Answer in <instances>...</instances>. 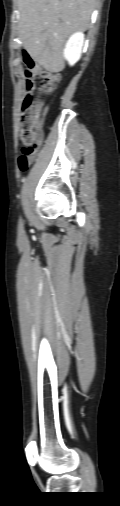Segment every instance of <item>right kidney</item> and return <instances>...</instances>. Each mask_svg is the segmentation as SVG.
<instances>
[{
	"label": "right kidney",
	"mask_w": 120,
	"mask_h": 506,
	"mask_svg": "<svg viewBox=\"0 0 120 506\" xmlns=\"http://www.w3.org/2000/svg\"><path fill=\"white\" fill-rule=\"evenodd\" d=\"M84 40V34L77 32L67 41L63 54L70 65H74L80 59Z\"/></svg>",
	"instance_id": "1"
}]
</instances>
